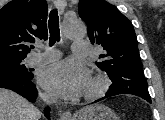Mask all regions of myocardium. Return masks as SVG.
<instances>
[{
  "mask_svg": "<svg viewBox=\"0 0 165 120\" xmlns=\"http://www.w3.org/2000/svg\"><path fill=\"white\" fill-rule=\"evenodd\" d=\"M93 88L84 94L85 100H94L106 93L110 86L109 78L102 74L97 73L92 77Z\"/></svg>",
  "mask_w": 165,
  "mask_h": 120,
  "instance_id": "myocardium-1",
  "label": "myocardium"
}]
</instances>
